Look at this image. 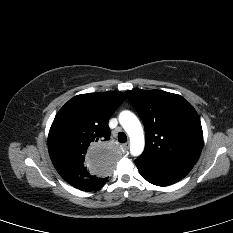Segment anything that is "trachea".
Listing matches in <instances>:
<instances>
[{
    "mask_svg": "<svg viewBox=\"0 0 233 233\" xmlns=\"http://www.w3.org/2000/svg\"><path fill=\"white\" fill-rule=\"evenodd\" d=\"M118 141H119L120 143L126 142V141H127V136H126V134L123 133V132H120V133L118 134Z\"/></svg>",
    "mask_w": 233,
    "mask_h": 233,
    "instance_id": "obj_1",
    "label": "trachea"
}]
</instances>
